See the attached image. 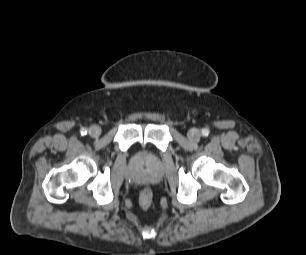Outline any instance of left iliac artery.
Wrapping results in <instances>:
<instances>
[{"label": "left iliac artery", "instance_id": "left-iliac-artery-1", "mask_svg": "<svg viewBox=\"0 0 306 255\" xmlns=\"http://www.w3.org/2000/svg\"><path fill=\"white\" fill-rule=\"evenodd\" d=\"M208 134H209V130L207 129V128H204V129H202V135L203 136H208Z\"/></svg>", "mask_w": 306, "mask_h": 255}]
</instances>
